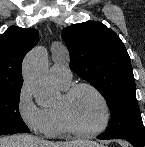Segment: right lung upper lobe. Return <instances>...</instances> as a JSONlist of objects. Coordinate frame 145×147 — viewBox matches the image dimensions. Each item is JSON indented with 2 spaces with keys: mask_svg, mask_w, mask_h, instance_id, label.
<instances>
[{
  "mask_svg": "<svg viewBox=\"0 0 145 147\" xmlns=\"http://www.w3.org/2000/svg\"><path fill=\"white\" fill-rule=\"evenodd\" d=\"M38 39L37 30L17 26H11L0 35V90L22 87V61Z\"/></svg>",
  "mask_w": 145,
  "mask_h": 147,
  "instance_id": "cb5924a9",
  "label": "right lung upper lobe"
}]
</instances>
